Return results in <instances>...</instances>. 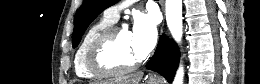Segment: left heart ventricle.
Masks as SVG:
<instances>
[{
	"instance_id": "left-heart-ventricle-1",
	"label": "left heart ventricle",
	"mask_w": 260,
	"mask_h": 84,
	"mask_svg": "<svg viewBox=\"0 0 260 84\" xmlns=\"http://www.w3.org/2000/svg\"><path fill=\"white\" fill-rule=\"evenodd\" d=\"M112 54L113 60L120 65H130L140 58L134 50L129 31L121 29L118 32Z\"/></svg>"
}]
</instances>
